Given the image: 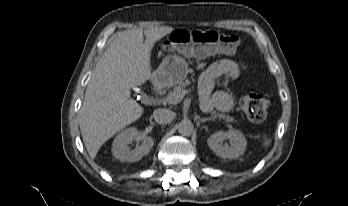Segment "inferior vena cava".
<instances>
[{"label":"inferior vena cava","mask_w":348,"mask_h":206,"mask_svg":"<svg viewBox=\"0 0 348 206\" xmlns=\"http://www.w3.org/2000/svg\"><path fill=\"white\" fill-rule=\"evenodd\" d=\"M174 117V112L167 108H158L153 112V119L158 124H168L173 120Z\"/></svg>","instance_id":"obj_1"}]
</instances>
